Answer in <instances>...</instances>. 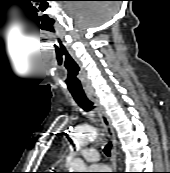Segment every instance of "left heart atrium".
<instances>
[{"label": "left heart atrium", "instance_id": "obj_1", "mask_svg": "<svg viewBox=\"0 0 170 173\" xmlns=\"http://www.w3.org/2000/svg\"><path fill=\"white\" fill-rule=\"evenodd\" d=\"M90 173H106L107 167L104 165H93L89 168Z\"/></svg>", "mask_w": 170, "mask_h": 173}]
</instances>
